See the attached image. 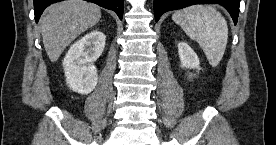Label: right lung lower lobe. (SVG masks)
I'll return each mask as SVG.
<instances>
[{"label": "right lung lower lobe", "instance_id": "obj_1", "mask_svg": "<svg viewBox=\"0 0 276 145\" xmlns=\"http://www.w3.org/2000/svg\"><path fill=\"white\" fill-rule=\"evenodd\" d=\"M62 1V0H34V12L35 21L38 22L44 9L52 3ZM96 3L106 9L113 10L122 19L124 3L123 0H86Z\"/></svg>", "mask_w": 276, "mask_h": 145}]
</instances>
